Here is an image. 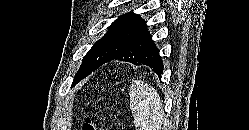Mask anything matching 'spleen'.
Masks as SVG:
<instances>
[{"label": "spleen", "mask_w": 249, "mask_h": 130, "mask_svg": "<svg viewBox=\"0 0 249 130\" xmlns=\"http://www.w3.org/2000/svg\"><path fill=\"white\" fill-rule=\"evenodd\" d=\"M130 109L137 130H161L164 112L155 88L141 80H134L130 87Z\"/></svg>", "instance_id": "1"}]
</instances>
